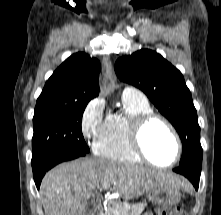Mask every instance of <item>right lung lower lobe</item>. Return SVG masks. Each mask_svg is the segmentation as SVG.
Returning a JSON list of instances; mask_svg holds the SVG:
<instances>
[{
  "label": "right lung lower lobe",
  "instance_id": "1",
  "mask_svg": "<svg viewBox=\"0 0 221 215\" xmlns=\"http://www.w3.org/2000/svg\"><path fill=\"white\" fill-rule=\"evenodd\" d=\"M87 154L88 152L85 151L58 152L33 165V176L37 189H39L41 180L49 169L61 162L73 160Z\"/></svg>",
  "mask_w": 221,
  "mask_h": 215
}]
</instances>
